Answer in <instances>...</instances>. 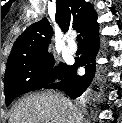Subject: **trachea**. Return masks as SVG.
<instances>
[{"instance_id":"obj_1","label":"trachea","mask_w":122,"mask_h":123,"mask_svg":"<svg viewBox=\"0 0 122 123\" xmlns=\"http://www.w3.org/2000/svg\"><path fill=\"white\" fill-rule=\"evenodd\" d=\"M77 42L79 45H83V40H82V37L80 35L77 36Z\"/></svg>"}]
</instances>
